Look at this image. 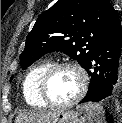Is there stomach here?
<instances>
[{
  "label": "stomach",
  "mask_w": 122,
  "mask_h": 123,
  "mask_svg": "<svg viewBox=\"0 0 122 123\" xmlns=\"http://www.w3.org/2000/svg\"><path fill=\"white\" fill-rule=\"evenodd\" d=\"M87 117L82 112L62 110L53 112L48 123H86Z\"/></svg>",
  "instance_id": "1"
}]
</instances>
